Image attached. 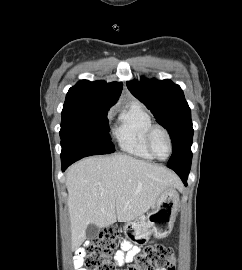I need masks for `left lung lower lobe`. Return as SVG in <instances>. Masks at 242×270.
<instances>
[{
	"label": "left lung lower lobe",
	"instance_id": "1",
	"mask_svg": "<svg viewBox=\"0 0 242 270\" xmlns=\"http://www.w3.org/2000/svg\"><path fill=\"white\" fill-rule=\"evenodd\" d=\"M174 171L179 175L185 186H187V178L190 170H174Z\"/></svg>",
	"mask_w": 242,
	"mask_h": 270
}]
</instances>
